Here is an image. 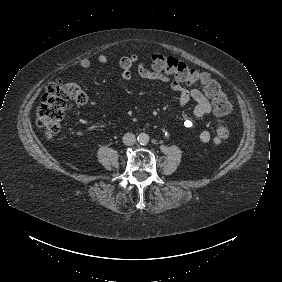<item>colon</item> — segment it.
Returning <instances> with one entry per match:
<instances>
[{
  "label": "colon",
  "instance_id": "colon-1",
  "mask_svg": "<svg viewBox=\"0 0 282 282\" xmlns=\"http://www.w3.org/2000/svg\"><path fill=\"white\" fill-rule=\"evenodd\" d=\"M150 66L162 76L167 73L177 74L186 85H193L198 82L199 86L211 97L214 110L219 114L231 116L232 102L209 74H199L186 63L159 53L153 54ZM86 100L85 93L72 79L50 82L45 88L41 104L37 110V126L43 130L45 137L56 136L63 127L67 110L73 105H84ZM229 136L230 129L228 126L223 122H217L213 134L214 144H222Z\"/></svg>",
  "mask_w": 282,
  "mask_h": 282
}]
</instances>
